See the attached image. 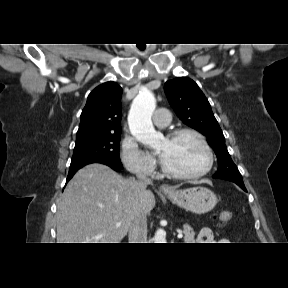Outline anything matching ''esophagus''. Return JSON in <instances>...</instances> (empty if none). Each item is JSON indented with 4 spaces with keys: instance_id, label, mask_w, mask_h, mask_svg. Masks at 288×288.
<instances>
[{
    "instance_id": "34e87169",
    "label": "esophagus",
    "mask_w": 288,
    "mask_h": 288,
    "mask_svg": "<svg viewBox=\"0 0 288 288\" xmlns=\"http://www.w3.org/2000/svg\"><path fill=\"white\" fill-rule=\"evenodd\" d=\"M160 190L163 192V193H172L174 190L172 187H170L169 185L167 184H163L160 186Z\"/></svg>"
}]
</instances>
